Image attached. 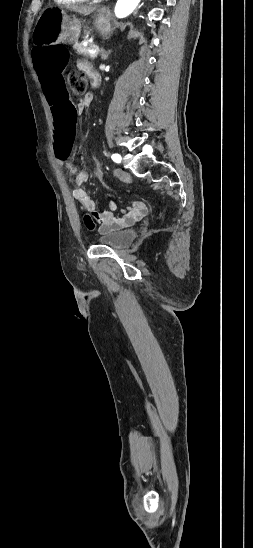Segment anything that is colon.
Masks as SVG:
<instances>
[{
	"label": "colon",
	"mask_w": 253,
	"mask_h": 548,
	"mask_svg": "<svg viewBox=\"0 0 253 548\" xmlns=\"http://www.w3.org/2000/svg\"><path fill=\"white\" fill-rule=\"evenodd\" d=\"M33 55L38 78L41 79L43 87L42 93L46 96V104L51 105L54 119L52 151L56 158L68 159L71 156L70 144L77 133L74 126V121L77 120L76 101L70 98L65 80L68 53L63 46L54 45L35 50ZM68 84L73 96H81L87 89V78L82 73L72 71L68 74ZM88 165L94 171V178L100 183H106V190L111 193L119 190L107 183L110 176L101 169L97 161Z\"/></svg>",
	"instance_id": "1"
}]
</instances>
